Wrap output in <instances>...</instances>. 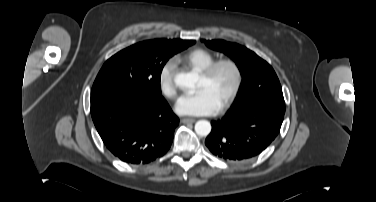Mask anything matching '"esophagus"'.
Segmentation results:
<instances>
[{"label":"esophagus","instance_id":"34e87169","mask_svg":"<svg viewBox=\"0 0 376 202\" xmlns=\"http://www.w3.org/2000/svg\"><path fill=\"white\" fill-rule=\"evenodd\" d=\"M181 122L186 124V123H194L195 122V119L193 118H183L181 119Z\"/></svg>","mask_w":376,"mask_h":202}]
</instances>
